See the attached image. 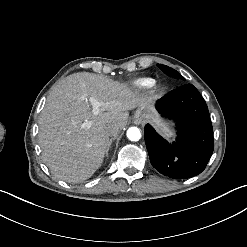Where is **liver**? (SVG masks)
<instances>
[{"label": "liver", "mask_w": 247, "mask_h": 247, "mask_svg": "<svg viewBox=\"0 0 247 247\" xmlns=\"http://www.w3.org/2000/svg\"><path fill=\"white\" fill-rule=\"evenodd\" d=\"M82 95L100 101L98 116L91 114V105ZM149 99L152 96L130 83L101 74L78 72L64 78L48 96L39 117L41 157L50 172L69 183L88 179L100 166L110 141L106 128H124L128 110ZM86 120L93 125L82 129Z\"/></svg>", "instance_id": "6515ba94"}]
</instances>
